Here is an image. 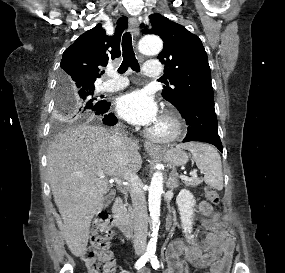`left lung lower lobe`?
Returning <instances> with one entry per match:
<instances>
[{
  "mask_svg": "<svg viewBox=\"0 0 285 273\" xmlns=\"http://www.w3.org/2000/svg\"><path fill=\"white\" fill-rule=\"evenodd\" d=\"M177 109L188 124V133L183 142H207L215 145L222 152L214 101L186 103Z\"/></svg>",
  "mask_w": 285,
  "mask_h": 273,
  "instance_id": "0a47b994",
  "label": "left lung lower lobe"
}]
</instances>
